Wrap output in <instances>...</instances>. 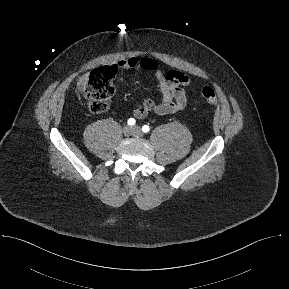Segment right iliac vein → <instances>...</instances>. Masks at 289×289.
<instances>
[{"mask_svg": "<svg viewBox=\"0 0 289 289\" xmlns=\"http://www.w3.org/2000/svg\"><path fill=\"white\" fill-rule=\"evenodd\" d=\"M123 134H124L125 136H130V135H132V134H133V129H132V127H130V126H128V125L124 126V128H123Z\"/></svg>", "mask_w": 289, "mask_h": 289, "instance_id": "63e3f726", "label": "right iliac vein"}]
</instances>
